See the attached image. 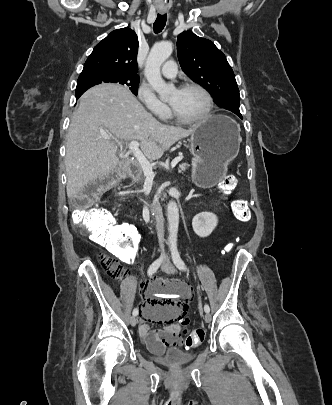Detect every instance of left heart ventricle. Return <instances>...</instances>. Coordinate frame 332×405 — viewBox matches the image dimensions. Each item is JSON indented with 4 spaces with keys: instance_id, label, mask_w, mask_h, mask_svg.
Wrapping results in <instances>:
<instances>
[{
    "instance_id": "1",
    "label": "left heart ventricle",
    "mask_w": 332,
    "mask_h": 405,
    "mask_svg": "<svg viewBox=\"0 0 332 405\" xmlns=\"http://www.w3.org/2000/svg\"><path fill=\"white\" fill-rule=\"evenodd\" d=\"M176 111L185 119L199 117L207 107L204 95L195 89L174 90L168 98Z\"/></svg>"
}]
</instances>
